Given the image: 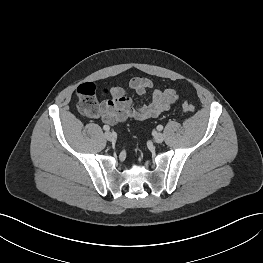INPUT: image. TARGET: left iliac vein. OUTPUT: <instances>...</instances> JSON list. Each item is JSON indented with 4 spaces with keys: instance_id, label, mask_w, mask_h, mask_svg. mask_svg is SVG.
I'll list each match as a JSON object with an SVG mask.
<instances>
[{
    "instance_id": "4c4485c4",
    "label": "left iliac vein",
    "mask_w": 263,
    "mask_h": 263,
    "mask_svg": "<svg viewBox=\"0 0 263 263\" xmlns=\"http://www.w3.org/2000/svg\"><path fill=\"white\" fill-rule=\"evenodd\" d=\"M163 140H164V136H163L162 133H156V134L154 135V141H155L156 143H162Z\"/></svg>"
}]
</instances>
